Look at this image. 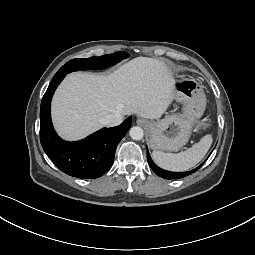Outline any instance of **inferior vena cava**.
I'll list each match as a JSON object with an SVG mask.
<instances>
[{"mask_svg":"<svg viewBox=\"0 0 255 255\" xmlns=\"http://www.w3.org/2000/svg\"><path fill=\"white\" fill-rule=\"evenodd\" d=\"M123 116L120 113L109 114L103 118L102 123L106 126L112 127L121 124Z\"/></svg>","mask_w":255,"mask_h":255,"instance_id":"602c4592","label":"inferior vena cava"}]
</instances>
